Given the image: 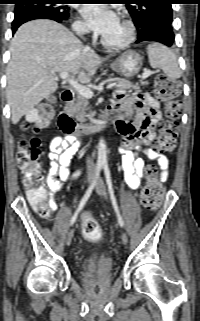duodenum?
<instances>
[{
  "label": "duodenum",
  "instance_id": "410a0bca",
  "mask_svg": "<svg viewBox=\"0 0 200 321\" xmlns=\"http://www.w3.org/2000/svg\"><path fill=\"white\" fill-rule=\"evenodd\" d=\"M61 100L65 105H70L74 100V92L72 90H64L61 94ZM116 119V112L109 110L108 113L93 122L77 124L66 111H63L59 114L58 123L65 133L81 136L85 134H93L106 127L114 125Z\"/></svg>",
  "mask_w": 200,
  "mask_h": 321
}]
</instances>
